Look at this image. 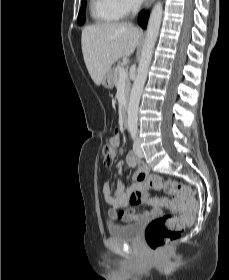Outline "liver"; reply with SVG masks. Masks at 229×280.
<instances>
[{"instance_id": "liver-1", "label": "liver", "mask_w": 229, "mask_h": 280, "mask_svg": "<svg viewBox=\"0 0 229 280\" xmlns=\"http://www.w3.org/2000/svg\"><path fill=\"white\" fill-rule=\"evenodd\" d=\"M140 36V30L127 23H101L82 30L84 62L97 86L118 59L135 51Z\"/></svg>"}]
</instances>
